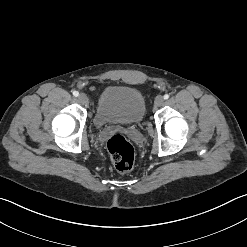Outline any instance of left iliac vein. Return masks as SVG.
Instances as JSON below:
<instances>
[{
	"mask_svg": "<svg viewBox=\"0 0 247 247\" xmlns=\"http://www.w3.org/2000/svg\"><path fill=\"white\" fill-rule=\"evenodd\" d=\"M164 103V98L162 96H157L155 99V105L156 106H162Z\"/></svg>",
	"mask_w": 247,
	"mask_h": 247,
	"instance_id": "left-iliac-vein-1",
	"label": "left iliac vein"
}]
</instances>
